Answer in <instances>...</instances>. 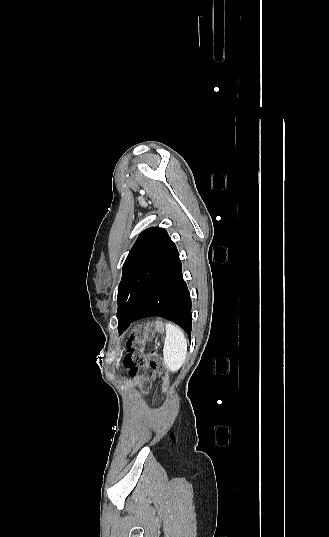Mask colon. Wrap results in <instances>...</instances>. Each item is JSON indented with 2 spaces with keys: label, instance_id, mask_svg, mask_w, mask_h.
Masks as SVG:
<instances>
[{
  "label": "colon",
  "instance_id": "5ec220e1",
  "mask_svg": "<svg viewBox=\"0 0 329 537\" xmlns=\"http://www.w3.org/2000/svg\"><path fill=\"white\" fill-rule=\"evenodd\" d=\"M148 334L142 330H136L127 343V352L124 357V365L130 374L137 380L140 389L146 390L150 385V379L160 376L164 387L168 383V373L161 356L156 352L146 354L144 352Z\"/></svg>",
  "mask_w": 329,
  "mask_h": 537
}]
</instances>
